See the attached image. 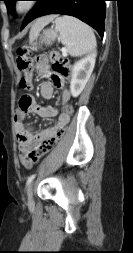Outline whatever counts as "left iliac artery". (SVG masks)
<instances>
[{"label":"left iliac artery","instance_id":"1","mask_svg":"<svg viewBox=\"0 0 133 253\" xmlns=\"http://www.w3.org/2000/svg\"><path fill=\"white\" fill-rule=\"evenodd\" d=\"M35 174H32L28 177L27 179V183H26V187L33 181V179L35 178Z\"/></svg>","mask_w":133,"mask_h":253}]
</instances>
